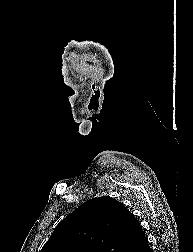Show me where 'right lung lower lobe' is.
Returning <instances> with one entry per match:
<instances>
[{"label": "right lung lower lobe", "mask_w": 193, "mask_h": 252, "mask_svg": "<svg viewBox=\"0 0 193 252\" xmlns=\"http://www.w3.org/2000/svg\"><path fill=\"white\" fill-rule=\"evenodd\" d=\"M130 252H152L145 235L141 238L138 244L130 250Z\"/></svg>", "instance_id": "right-lung-lower-lobe-1"}]
</instances>
